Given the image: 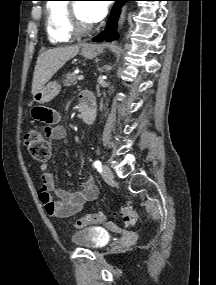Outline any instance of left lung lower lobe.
Masks as SVG:
<instances>
[{"label": "left lung lower lobe", "instance_id": "left-lung-lower-lobe-1", "mask_svg": "<svg viewBox=\"0 0 216 285\" xmlns=\"http://www.w3.org/2000/svg\"><path fill=\"white\" fill-rule=\"evenodd\" d=\"M116 4L112 9V13L110 19L107 23L105 31H102L99 35H97L93 41L94 42H101L103 40L110 41L117 38L116 35V23L118 20V16L120 14V8L126 1H137V0H115Z\"/></svg>", "mask_w": 216, "mask_h": 285}]
</instances>
